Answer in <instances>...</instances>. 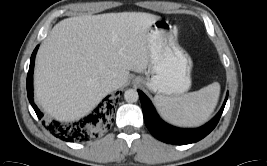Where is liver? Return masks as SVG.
<instances>
[{
    "label": "liver",
    "mask_w": 267,
    "mask_h": 166,
    "mask_svg": "<svg viewBox=\"0 0 267 166\" xmlns=\"http://www.w3.org/2000/svg\"><path fill=\"white\" fill-rule=\"evenodd\" d=\"M160 16L144 12L71 17L57 23L42 43L35 65V96L60 121L88 114L129 71L149 67L148 31Z\"/></svg>",
    "instance_id": "liver-1"
}]
</instances>
